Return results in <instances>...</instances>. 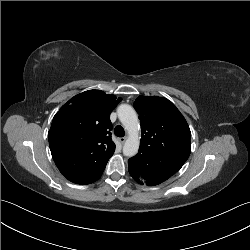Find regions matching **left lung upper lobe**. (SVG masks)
<instances>
[{"label": "left lung upper lobe", "instance_id": "obj_1", "mask_svg": "<svg viewBox=\"0 0 250 250\" xmlns=\"http://www.w3.org/2000/svg\"><path fill=\"white\" fill-rule=\"evenodd\" d=\"M133 105L141 124L138 153L158 166L179 170L191 151V132L183 115L163 97L139 96Z\"/></svg>", "mask_w": 250, "mask_h": 250}]
</instances>
